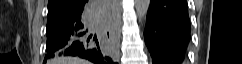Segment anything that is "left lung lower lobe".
Instances as JSON below:
<instances>
[{
	"mask_svg": "<svg viewBox=\"0 0 242 64\" xmlns=\"http://www.w3.org/2000/svg\"><path fill=\"white\" fill-rule=\"evenodd\" d=\"M144 38L153 64H182L190 41L186 0H151Z\"/></svg>",
	"mask_w": 242,
	"mask_h": 64,
	"instance_id": "obj_1",
	"label": "left lung lower lobe"
}]
</instances>
